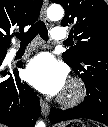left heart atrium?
Wrapping results in <instances>:
<instances>
[{
	"instance_id": "obj_1",
	"label": "left heart atrium",
	"mask_w": 108,
	"mask_h": 127,
	"mask_svg": "<svg viewBox=\"0 0 108 127\" xmlns=\"http://www.w3.org/2000/svg\"><path fill=\"white\" fill-rule=\"evenodd\" d=\"M25 77L39 91L56 94L66 84L67 70L51 54L41 53L28 63Z\"/></svg>"
}]
</instances>
